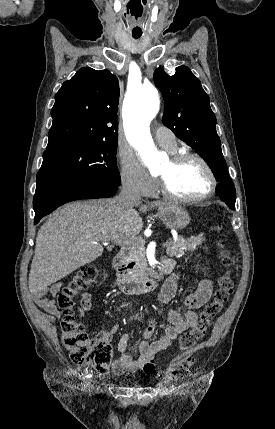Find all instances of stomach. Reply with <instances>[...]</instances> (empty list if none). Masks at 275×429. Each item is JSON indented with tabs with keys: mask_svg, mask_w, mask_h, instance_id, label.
<instances>
[{
	"mask_svg": "<svg viewBox=\"0 0 275 429\" xmlns=\"http://www.w3.org/2000/svg\"><path fill=\"white\" fill-rule=\"evenodd\" d=\"M157 215L168 228L172 229L185 228L190 221L188 212L176 204L159 207Z\"/></svg>",
	"mask_w": 275,
	"mask_h": 429,
	"instance_id": "stomach-1",
	"label": "stomach"
}]
</instances>
